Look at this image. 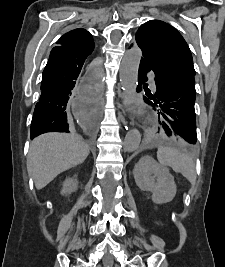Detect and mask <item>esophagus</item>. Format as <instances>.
Listing matches in <instances>:
<instances>
[{"label": "esophagus", "mask_w": 225, "mask_h": 267, "mask_svg": "<svg viewBox=\"0 0 225 267\" xmlns=\"http://www.w3.org/2000/svg\"><path fill=\"white\" fill-rule=\"evenodd\" d=\"M119 97L123 102H126L127 96L123 90H119ZM118 106H119L120 110L122 111V113L125 114V109H124L123 104L119 103ZM122 113L120 114V120L125 125L127 122H126L124 115H122Z\"/></svg>", "instance_id": "obj_1"}]
</instances>
